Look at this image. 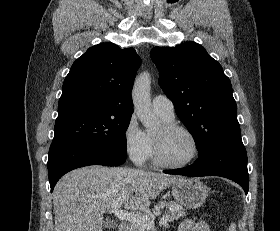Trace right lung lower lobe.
<instances>
[{
    "label": "right lung lower lobe",
    "instance_id": "1",
    "mask_svg": "<svg viewBox=\"0 0 280 231\" xmlns=\"http://www.w3.org/2000/svg\"><path fill=\"white\" fill-rule=\"evenodd\" d=\"M126 157L104 152L93 146L73 141H53L48 158L51 192L57 181L67 172L89 165L119 166Z\"/></svg>",
    "mask_w": 280,
    "mask_h": 231
}]
</instances>
